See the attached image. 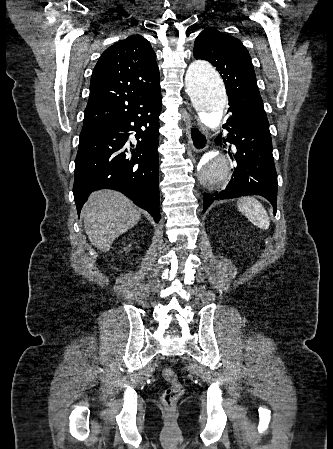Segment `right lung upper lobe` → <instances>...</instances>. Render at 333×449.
<instances>
[{
  "label": "right lung upper lobe",
  "mask_w": 333,
  "mask_h": 449,
  "mask_svg": "<svg viewBox=\"0 0 333 449\" xmlns=\"http://www.w3.org/2000/svg\"><path fill=\"white\" fill-rule=\"evenodd\" d=\"M156 54L135 34L107 48L93 69L83 128L114 120L161 94Z\"/></svg>",
  "instance_id": "obj_1"
}]
</instances>
